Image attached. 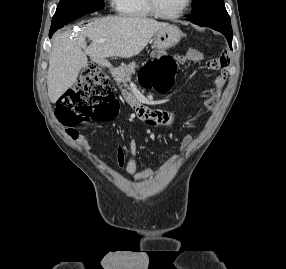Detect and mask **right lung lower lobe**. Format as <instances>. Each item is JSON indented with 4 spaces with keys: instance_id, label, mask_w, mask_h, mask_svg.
<instances>
[{
    "instance_id": "1",
    "label": "right lung lower lobe",
    "mask_w": 286,
    "mask_h": 269,
    "mask_svg": "<svg viewBox=\"0 0 286 269\" xmlns=\"http://www.w3.org/2000/svg\"><path fill=\"white\" fill-rule=\"evenodd\" d=\"M103 7H104V6H103ZM55 31H56V29L50 30V32H49V37H51V36L54 34Z\"/></svg>"
}]
</instances>
